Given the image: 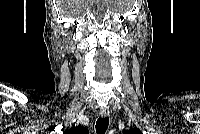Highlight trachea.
<instances>
[{
	"label": "trachea",
	"mask_w": 200,
	"mask_h": 134,
	"mask_svg": "<svg viewBox=\"0 0 200 134\" xmlns=\"http://www.w3.org/2000/svg\"><path fill=\"white\" fill-rule=\"evenodd\" d=\"M108 125H109V118L105 117V118H102V117H99L97 122H96V132L98 134H104L108 128Z\"/></svg>",
	"instance_id": "1"
}]
</instances>
